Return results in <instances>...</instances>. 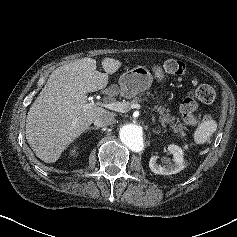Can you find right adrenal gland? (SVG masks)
Masks as SVG:
<instances>
[{"instance_id": "obj_1", "label": "right adrenal gland", "mask_w": 237, "mask_h": 237, "mask_svg": "<svg viewBox=\"0 0 237 237\" xmlns=\"http://www.w3.org/2000/svg\"><path fill=\"white\" fill-rule=\"evenodd\" d=\"M99 128H97V127H88L87 128V131H89V130H98Z\"/></svg>"}]
</instances>
